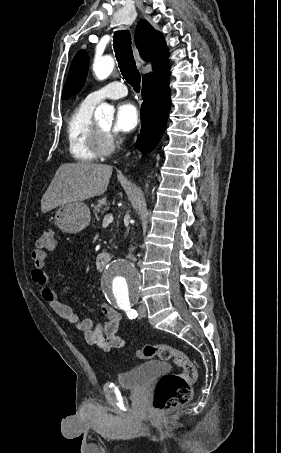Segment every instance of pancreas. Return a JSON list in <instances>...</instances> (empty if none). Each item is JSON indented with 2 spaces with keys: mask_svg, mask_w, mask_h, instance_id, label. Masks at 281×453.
I'll use <instances>...</instances> for the list:
<instances>
[{
  "mask_svg": "<svg viewBox=\"0 0 281 453\" xmlns=\"http://www.w3.org/2000/svg\"><path fill=\"white\" fill-rule=\"evenodd\" d=\"M106 204H107L106 198H101V200H98L97 204H92L93 212H94L96 218H98V216H97L98 212H103V210H108V206H106Z\"/></svg>",
  "mask_w": 281,
  "mask_h": 453,
  "instance_id": "pancreas-1",
  "label": "pancreas"
}]
</instances>
